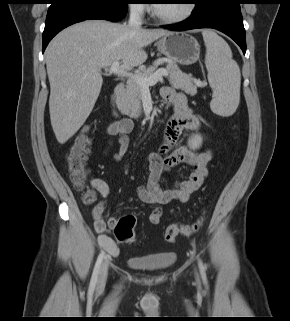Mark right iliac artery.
<instances>
[{
    "mask_svg": "<svg viewBox=\"0 0 290 321\" xmlns=\"http://www.w3.org/2000/svg\"><path fill=\"white\" fill-rule=\"evenodd\" d=\"M103 258H104V251H102L97 258V261H96V264H95V267L93 270V274L91 277V281H90V286H89L90 290H94V288H95L97 278H98L99 269H100Z\"/></svg>",
    "mask_w": 290,
    "mask_h": 321,
    "instance_id": "82829eb1",
    "label": "right iliac artery"
}]
</instances>
